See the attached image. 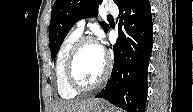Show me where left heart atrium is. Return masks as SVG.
Here are the masks:
<instances>
[{
	"instance_id": "obj_1",
	"label": "left heart atrium",
	"mask_w": 193,
	"mask_h": 112,
	"mask_svg": "<svg viewBox=\"0 0 193 112\" xmlns=\"http://www.w3.org/2000/svg\"><path fill=\"white\" fill-rule=\"evenodd\" d=\"M100 47H101V49L103 50V52H104V49H103V47L101 46V45H99Z\"/></svg>"
}]
</instances>
